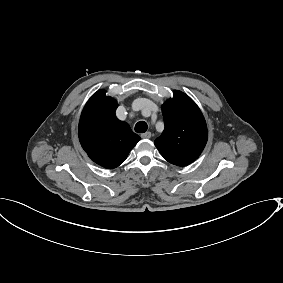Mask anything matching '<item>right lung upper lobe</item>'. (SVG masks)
Segmentation results:
<instances>
[{
	"mask_svg": "<svg viewBox=\"0 0 283 283\" xmlns=\"http://www.w3.org/2000/svg\"><path fill=\"white\" fill-rule=\"evenodd\" d=\"M105 93L97 91L85 105L79 122V140L95 163L113 169L124 162L140 137L117 119V102Z\"/></svg>",
	"mask_w": 283,
	"mask_h": 283,
	"instance_id": "1",
	"label": "right lung upper lobe"
}]
</instances>
